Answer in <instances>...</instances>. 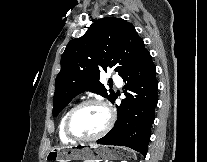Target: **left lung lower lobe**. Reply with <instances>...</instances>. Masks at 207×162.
I'll use <instances>...</instances> for the list:
<instances>
[{"label": "left lung lower lobe", "mask_w": 207, "mask_h": 162, "mask_svg": "<svg viewBox=\"0 0 207 162\" xmlns=\"http://www.w3.org/2000/svg\"><path fill=\"white\" fill-rule=\"evenodd\" d=\"M121 77L129 92L124 91L126 98L117 106L114 128L97 142L126 146L146 156L158 102L156 68L150 53L145 51Z\"/></svg>", "instance_id": "obj_1"}]
</instances>
